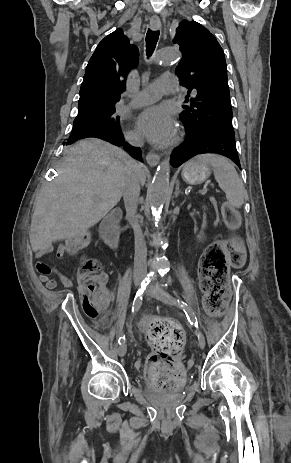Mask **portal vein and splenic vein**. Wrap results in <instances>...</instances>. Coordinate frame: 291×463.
<instances>
[{
  "label": "portal vein and splenic vein",
  "mask_w": 291,
  "mask_h": 463,
  "mask_svg": "<svg viewBox=\"0 0 291 463\" xmlns=\"http://www.w3.org/2000/svg\"><path fill=\"white\" fill-rule=\"evenodd\" d=\"M206 191H207V188H206V186H204V188H203V190H202V192H201V193H202V194H205V193H206Z\"/></svg>",
  "instance_id": "obj_1"
}]
</instances>
